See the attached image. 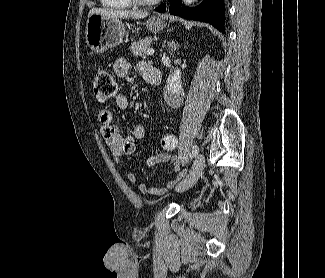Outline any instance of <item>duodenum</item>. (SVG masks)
<instances>
[{"mask_svg":"<svg viewBox=\"0 0 325 278\" xmlns=\"http://www.w3.org/2000/svg\"><path fill=\"white\" fill-rule=\"evenodd\" d=\"M144 77L146 81L153 86H159L161 84V80H162L161 72L152 66L146 67Z\"/></svg>","mask_w":325,"mask_h":278,"instance_id":"1","label":"duodenum"}]
</instances>
